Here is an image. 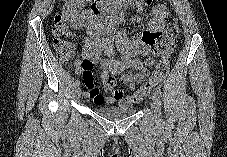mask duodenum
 <instances>
[{"mask_svg":"<svg viewBox=\"0 0 227 157\" xmlns=\"http://www.w3.org/2000/svg\"><path fill=\"white\" fill-rule=\"evenodd\" d=\"M89 9H91L92 19L90 20V31L93 33H103L113 30V25L117 22L116 15L110 16L106 21H101L100 17L104 11V3L102 0H90Z\"/></svg>","mask_w":227,"mask_h":157,"instance_id":"1","label":"duodenum"}]
</instances>
